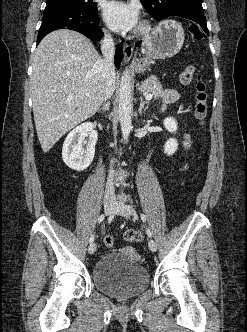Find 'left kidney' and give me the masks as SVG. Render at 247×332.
Returning a JSON list of instances; mask_svg holds the SVG:
<instances>
[{"label": "left kidney", "instance_id": "left-kidney-1", "mask_svg": "<svg viewBox=\"0 0 247 332\" xmlns=\"http://www.w3.org/2000/svg\"><path fill=\"white\" fill-rule=\"evenodd\" d=\"M163 124L170 133H175L178 129L177 122L172 117H167L166 119H164ZM177 149H178V142L174 138H170L169 140H167V142L164 145V153H166L168 156L173 155Z\"/></svg>", "mask_w": 247, "mask_h": 332}]
</instances>
